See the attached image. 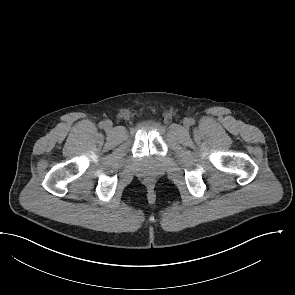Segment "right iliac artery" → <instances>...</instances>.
Instances as JSON below:
<instances>
[{
	"label": "right iliac artery",
	"instance_id": "right-iliac-artery-1",
	"mask_svg": "<svg viewBox=\"0 0 295 295\" xmlns=\"http://www.w3.org/2000/svg\"><path fill=\"white\" fill-rule=\"evenodd\" d=\"M99 127H100V128H103V127H104V122H100V123H99Z\"/></svg>",
	"mask_w": 295,
	"mask_h": 295
}]
</instances>
